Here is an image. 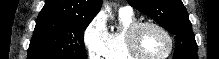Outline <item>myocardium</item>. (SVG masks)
Masks as SVG:
<instances>
[{"label":"myocardium","instance_id":"1","mask_svg":"<svg viewBox=\"0 0 219 59\" xmlns=\"http://www.w3.org/2000/svg\"><path fill=\"white\" fill-rule=\"evenodd\" d=\"M145 27H153L159 30L168 40L169 48L165 55L161 57H148L144 55L138 44L139 34L142 29ZM126 45L128 52L134 56L136 59H168L174 49V40L169 33V31L162 26L161 24L154 22V21H138L134 25H132L126 34Z\"/></svg>","mask_w":219,"mask_h":59}]
</instances>
